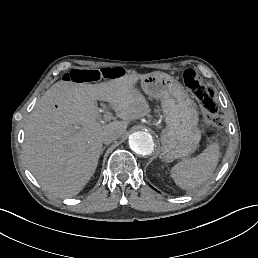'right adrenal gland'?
<instances>
[{"label":"right adrenal gland","mask_w":258,"mask_h":258,"mask_svg":"<svg viewBox=\"0 0 258 258\" xmlns=\"http://www.w3.org/2000/svg\"><path fill=\"white\" fill-rule=\"evenodd\" d=\"M105 148H102V153H103V150H104Z\"/></svg>","instance_id":"right-adrenal-gland-1"}]
</instances>
